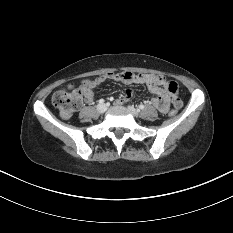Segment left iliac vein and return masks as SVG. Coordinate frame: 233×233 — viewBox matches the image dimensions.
I'll list each match as a JSON object with an SVG mask.
<instances>
[{"label": "left iliac vein", "instance_id": "left-iliac-vein-1", "mask_svg": "<svg viewBox=\"0 0 233 233\" xmlns=\"http://www.w3.org/2000/svg\"><path fill=\"white\" fill-rule=\"evenodd\" d=\"M128 109L133 116H135V117L139 116V111L137 109H135L133 106H128Z\"/></svg>", "mask_w": 233, "mask_h": 233}]
</instances>
